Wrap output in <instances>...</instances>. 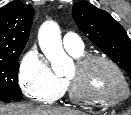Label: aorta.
<instances>
[{
    "label": "aorta",
    "mask_w": 131,
    "mask_h": 115,
    "mask_svg": "<svg viewBox=\"0 0 131 115\" xmlns=\"http://www.w3.org/2000/svg\"><path fill=\"white\" fill-rule=\"evenodd\" d=\"M39 45L56 75L65 71L69 57L62 47L59 26L53 21L45 22L39 30Z\"/></svg>",
    "instance_id": "1"
}]
</instances>
